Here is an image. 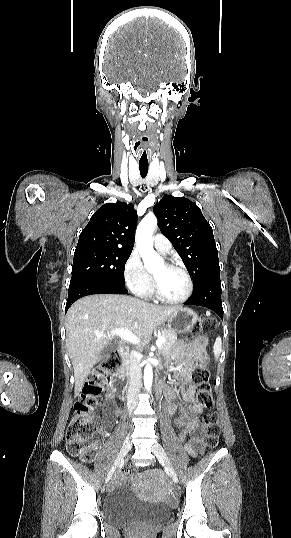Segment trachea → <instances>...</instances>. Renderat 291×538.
<instances>
[{"mask_svg":"<svg viewBox=\"0 0 291 538\" xmlns=\"http://www.w3.org/2000/svg\"><path fill=\"white\" fill-rule=\"evenodd\" d=\"M140 175L145 178L148 173V164H139Z\"/></svg>","mask_w":291,"mask_h":538,"instance_id":"trachea-1","label":"trachea"}]
</instances>
